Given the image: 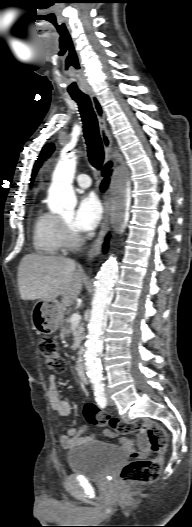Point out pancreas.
<instances>
[{"mask_svg":"<svg viewBox=\"0 0 192 527\" xmlns=\"http://www.w3.org/2000/svg\"><path fill=\"white\" fill-rule=\"evenodd\" d=\"M60 331H61V334L63 336H70V334L72 333L73 339H74V342H75L74 343L75 347H79L81 342H82V340L84 339V335H83L84 328H83V326L82 325H77L75 330L72 331L70 318H66V319L61 321Z\"/></svg>","mask_w":192,"mask_h":527,"instance_id":"obj_1","label":"pancreas"}]
</instances>
